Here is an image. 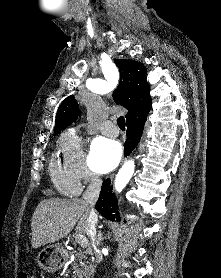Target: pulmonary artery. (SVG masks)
<instances>
[{"label": "pulmonary artery", "mask_w": 221, "mask_h": 278, "mask_svg": "<svg viewBox=\"0 0 221 278\" xmlns=\"http://www.w3.org/2000/svg\"><path fill=\"white\" fill-rule=\"evenodd\" d=\"M102 132L107 136H117L119 134V129L115 126L113 122H107L102 126Z\"/></svg>", "instance_id": "pulmonary-artery-1"}]
</instances>
